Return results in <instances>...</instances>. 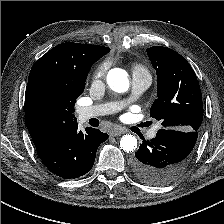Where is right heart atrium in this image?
Listing matches in <instances>:
<instances>
[{"label": "right heart atrium", "instance_id": "right-heart-atrium-1", "mask_svg": "<svg viewBox=\"0 0 224 224\" xmlns=\"http://www.w3.org/2000/svg\"><path fill=\"white\" fill-rule=\"evenodd\" d=\"M106 71H107V66L105 64L99 65L93 73L92 83L93 84L102 83L104 81Z\"/></svg>", "mask_w": 224, "mask_h": 224}]
</instances>
